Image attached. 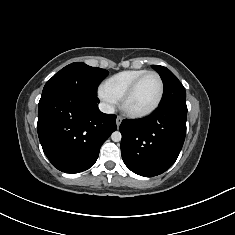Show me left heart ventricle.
I'll return each instance as SVG.
<instances>
[{"mask_svg": "<svg viewBox=\"0 0 235 235\" xmlns=\"http://www.w3.org/2000/svg\"><path fill=\"white\" fill-rule=\"evenodd\" d=\"M159 91L158 78L155 75H148L139 83L133 95L128 99L127 107L133 111L146 110L156 102Z\"/></svg>", "mask_w": 235, "mask_h": 235, "instance_id": "1", "label": "left heart ventricle"}]
</instances>
